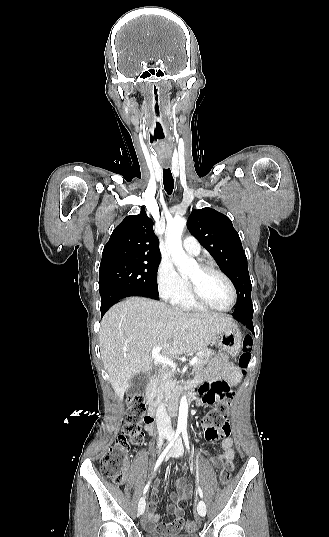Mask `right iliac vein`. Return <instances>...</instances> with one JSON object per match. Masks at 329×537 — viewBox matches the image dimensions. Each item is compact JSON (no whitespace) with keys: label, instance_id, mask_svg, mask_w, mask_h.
<instances>
[{"label":"right iliac vein","instance_id":"63e3f726","mask_svg":"<svg viewBox=\"0 0 329 537\" xmlns=\"http://www.w3.org/2000/svg\"><path fill=\"white\" fill-rule=\"evenodd\" d=\"M145 498L142 497L140 500H139V503H138V508H137V511H138V514L139 515H142L145 511Z\"/></svg>","mask_w":329,"mask_h":537}]
</instances>
